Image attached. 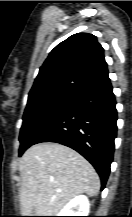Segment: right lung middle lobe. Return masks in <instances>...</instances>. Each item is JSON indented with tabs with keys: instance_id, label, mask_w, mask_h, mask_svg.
Masks as SVG:
<instances>
[{
	"instance_id": "obj_1",
	"label": "right lung middle lobe",
	"mask_w": 132,
	"mask_h": 217,
	"mask_svg": "<svg viewBox=\"0 0 132 217\" xmlns=\"http://www.w3.org/2000/svg\"><path fill=\"white\" fill-rule=\"evenodd\" d=\"M76 97L71 92L55 91L28 98L19 137V156L35 143Z\"/></svg>"
}]
</instances>
